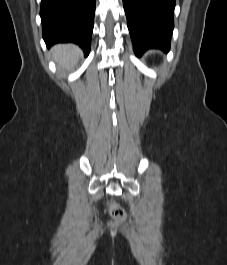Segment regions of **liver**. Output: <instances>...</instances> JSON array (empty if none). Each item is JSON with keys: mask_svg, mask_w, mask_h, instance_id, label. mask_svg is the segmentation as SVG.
I'll return each mask as SVG.
<instances>
[{"mask_svg": "<svg viewBox=\"0 0 227 265\" xmlns=\"http://www.w3.org/2000/svg\"><path fill=\"white\" fill-rule=\"evenodd\" d=\"M51 52L57 65L66 70H72L82 54L79 47L74 44L56 45Z\"/></svg>", "mask_w": 227, "mask_h": 265, "instance_id": "obj_1", "label": "liver"}]
</instances>
